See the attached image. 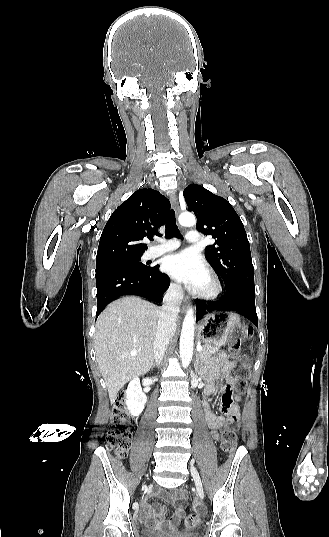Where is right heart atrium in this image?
<instances>
[{"mask_svg":"<svg viewBox=\"0 0 329 537\" xmlns=\"http://www.w3.org/2000/svg\"><path fill=\"white\" fill-rule=\"evenodd\" d=\"M170 290H171V292H173L174 294H178V292H179L178 287H177L176 285H174V284H171V285H170Z\"/></svg>","mask_w":329,"mask_h":537,"instance_id":"d8ad5b80","label":"right heart atrium"}]
</instances>
